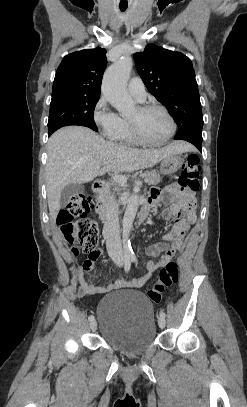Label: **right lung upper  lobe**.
Listing matches in <instances>:
<instances>
[{"instance_id": "right-lung-upper-lobe-1", "label": "right lung upper lobe", "mask_w": 247, "mask_h": 407, "mask_svg": "<svg viewBox=\"0 0 247 407\" xmlns=\"http://www.w3.org/2000/svg\"><path fill=\"white\" fill-rule=\"evenodd\" d=\"M106 68V50H82L65 56L56 72L52 96L75 94L100 96Z\"/></svg>"}]
</instances>
